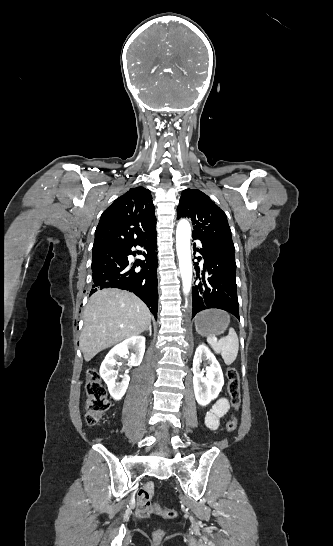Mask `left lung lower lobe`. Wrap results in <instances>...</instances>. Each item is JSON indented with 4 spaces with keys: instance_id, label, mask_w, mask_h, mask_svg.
I'll return each mask as SVG.
<instances>
[{
    "instance_id": "obj_1",
    "label": "left lung lower lobe",
    "mask_w": 333,
    "mask_h": 546,
    "mask_svg": "<svg viewBox=\"0 0 333 546\" xmlns=\"http://www.w3.org/2000/svg\"><path fill=\"white\" fill-rule=\"evenodd\" d=\"M192 237L194 240L201 241L202 246L200 249L196 248V251H199L204 259L203 274L209 275L208 278L203 275L202 280L195 281L192 287V318L202 310L218 308L233 314L240 320L234 253L223 245L201 235L193 234ZM196 259L200 261L201 257ZM218 263H228V270L217 272ZM197 265L198 263H195L198 276L199 267Z\"/></svg>"
}]
</instances>
